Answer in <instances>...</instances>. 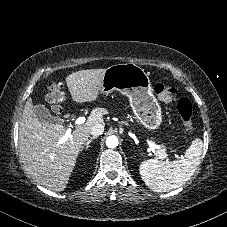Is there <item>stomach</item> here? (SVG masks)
<instances>
[{"label":"stomach","instance_id":"1","mask_svg":"<svg viewBox=\"0 0 227 227\" xmlns=\"http://www.w3.org/2000/svg\"><path fill=\"white\" fill-rule=\"evenodd\" d=\"M117 90L127 96L134 115L144 127L157 129L162 123L161 107L153 94L149 74L134 63L115 64L105 70L101 93Z\"/></svg>","mask_w":227,"mask_h":227}]
</instances>
